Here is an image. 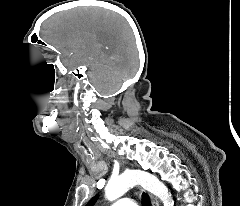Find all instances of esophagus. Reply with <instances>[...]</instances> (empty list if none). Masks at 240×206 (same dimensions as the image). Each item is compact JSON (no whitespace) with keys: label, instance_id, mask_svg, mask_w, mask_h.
Wrapping results in <instances>:
<instances>
[{"label":"esophagus","instance_id":"1","mask_svg":"<svg viewBox=\"0 0 240 206\" xmlns=\"http://www.w3.org/2000/svg\"><path fill=\"white\" fill-rule=\"evenodd\" d=\"M149 197H150L152 206H160L158 199L154 195L149 194Z\"/></svg>","mask_w":240,"mask_h":206}]
</instances>
